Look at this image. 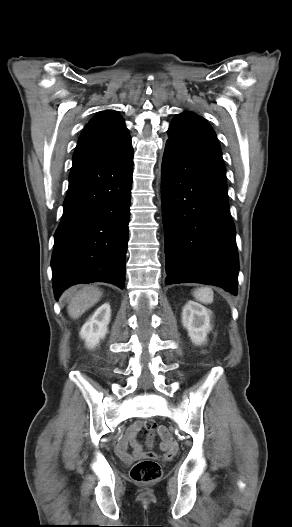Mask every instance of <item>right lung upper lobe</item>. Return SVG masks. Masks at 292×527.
Segmentation results:
<instances>
[{"label":"right lung upper lobe","instance_id":"cb5924a9","mask_svg":"<svg viewBox=\"0 0 292 527\" xmlns=\"http://www.w3.org/2000/svg\"><path fill=\"white\" fill-rule=\"evenodd\" d=\"M131 146L128 129L122 117L113 110L94 117L82 131L74 157L116 153Z\"/></svg>","mask_w":292,"mask_h":527}]
</instances>
